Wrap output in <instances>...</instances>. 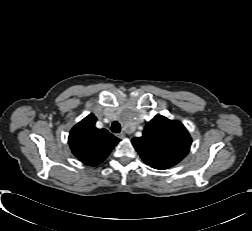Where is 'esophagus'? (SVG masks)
Masks as SVG:
<instances>
[{
  "label": "esophagus",
  "instance_id": "34e87169",
  "mask_svg": "<svg viewBox=\"0 0 252 231\" xmlns=\"http://www.w3.org/2000/svg\"><path fill=\"white\" fill-rule=\"evenodd\" d=\"M118 137L121 139L125 138V133L122 132V133L118 134Z\"/></svg>",
  "mask_w": 252,
  "mask_h": 231
}]
</instances>
